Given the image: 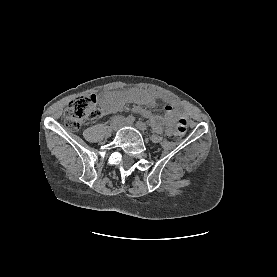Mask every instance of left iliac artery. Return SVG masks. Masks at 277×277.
Instances as JSON below:
<instances>
[{
    "label": "left iliac artery",
    "instance_id": "obj_1",
    "mask_svg": "<svg viewBox=\"0 0 277 277\" xmlns=\"http://www.w3.org/2000/svg\"><path fill=\"white\" fill-rule=\"evenodd\" d=\"M136 126H137L140 130H142V131H146V130H147L146 124L143 123V122H141V121H138V122L136 123Z\"/></svg>",
    "mask_w": 277,
    "mask_h": 277
}]
</instances>
